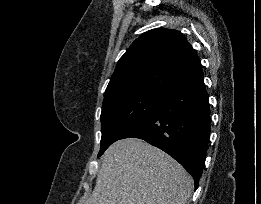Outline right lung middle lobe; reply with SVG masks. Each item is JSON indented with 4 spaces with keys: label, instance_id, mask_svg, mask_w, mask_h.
<instances>
[{
    "label": "right lung middle lobe",
    "instance_id": "1",
    "mask_svg": "<svg viewBox=\"0 0 261 204\" xmlns=\"http://www.w3.org/2000/svg\"><path fill=\"white\" fill-rule=\"evenodd\" d=\"M167 92L128 90L104 97L98 157L132 125L148 114Z\"/></svg>",
    "mask_w": 261,
    "mask_h": 204
}]
</instances>
